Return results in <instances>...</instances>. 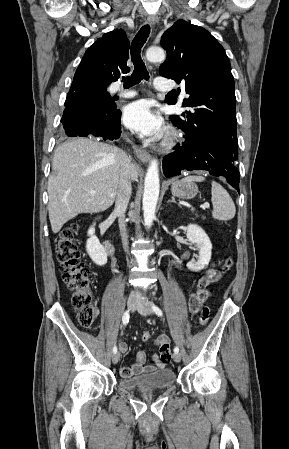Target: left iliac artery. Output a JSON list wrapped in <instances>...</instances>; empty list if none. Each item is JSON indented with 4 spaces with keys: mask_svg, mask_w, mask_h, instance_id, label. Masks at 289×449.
Returning <instances> with one entry per match:
<instances>
[{
    "mask_svg": "<svg viewBox=\"0 0 289 449\" xmlns=\"http://www.w3.org/2000/svg\"><path fill=\"white\" fill-rule=\"evenodd\" d=\"M152 309H153V311L155 312L156 315H158L159 317H162V315H163L162 310L158 306L153 304L152 305ZM178 352H179V347L176 346L174 348V353H178Z\"/></svg>",
    "mask_w": 289,
    "mask_h": 449,
    "instance_id": "44dca946",
    "label": "left iliac artery"
}]
</instances>
